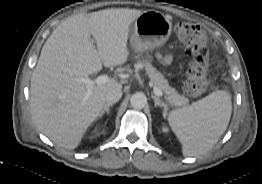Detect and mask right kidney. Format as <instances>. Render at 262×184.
<instances>
[{"label":"right kidney","mask_w":262,"mask_h":184,"mask_svg":"<svg viewBox=\"0 0 262 184\" xmlns=\"http://www.w3.org/2000/svg\"><path fill=\"white\" fill-rule=\"evenodd\" d=\"M97 132V129H95L94 131H93V133H96Z\"/></svg>","instance_id":"ca27d5eb"}]
</instances>
